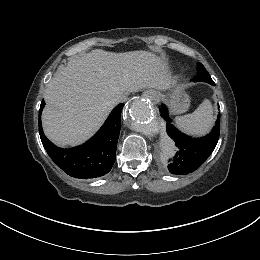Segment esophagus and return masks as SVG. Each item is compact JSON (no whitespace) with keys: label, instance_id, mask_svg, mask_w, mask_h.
I'll return each mask as SVG.
<instances>
[{"label":"esophagus","instance_id":"1","mask_svg":"<svg viewBox=\"0 0 260 260\" xmlns=\"http://www.w3.org/2000/svg\"><path fill=\"white\" fill-rule=\"evenodd\" d=\"M154 96H155L154 91L151 90V89L146 90V91L143 93V97H144V98L153 99Z\"/></svg>","mask_w":260,"mask_h":260}]
</instances>
